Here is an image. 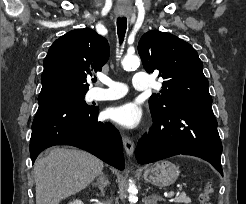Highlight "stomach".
Segmentation results:
<instances>
[{"mask_svg":"<svg viewBox=\"0 0 246 204\" xmlns=\"http://www.w3.org/2000/svg\"><path fill=\"white\" fill-rule=\"evenodd\" d=\"M179 168L170 161H160L148 167L143 174L144 180L158 187L172 185L179 177Z\"/></svg>","mask_w":246,"mask_h":204,"instance_id":"stomach-1","label":"stomach"}]
</instances>
